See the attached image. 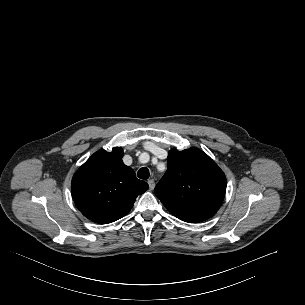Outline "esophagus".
Listing matches in <instances>:
<instances>
[{
    "mask_svg": "<svg viewBox=\"0 0 305 305\" xmlns=\"http://www.w3.org/2000/svg\"><path fill=\"white\" fill-rule=\"evenodd\" d=\"M148 185H149V189H150V190H153L154 187H155V181H154V179L148 180Z\"/></svg>",
    "mask_w": 305,
    "mask_h": 305,
    "instance_id": "obj_1",
    "label": "esophagus"
}]
</instances>
